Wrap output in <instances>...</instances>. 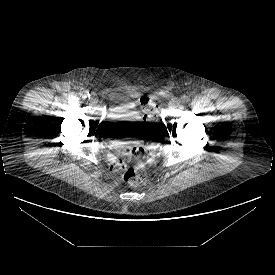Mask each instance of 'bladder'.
<instances>
[{
  "mask_svg": "<svg viewBox=\"0 0 275 275\" xmlns=\"http://www.w3.org/2000/svg\"><path fill=\"white\" fill-rule=\"evenodd\" d=\"M106 123L111 127L109 132L115 133V129H123L130 132L142 131V117L128 103H116L108 110Z\"/></svg>",
  "mask_w": 275,
  "mask_h": 275,
  "instance_id": "31cf9c89",
  "label": "bladder"
}]
</instances>
